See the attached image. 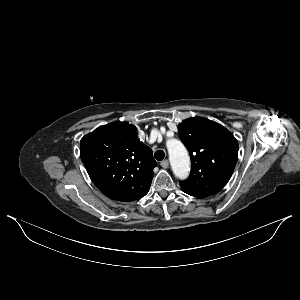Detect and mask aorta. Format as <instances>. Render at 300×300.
Instances as JSON below:
<instances>
[{
    "instance_id": "762f6f07",
    "label": "aorta",
    "mask_w": 300,
    "mask_h": 300,
    "mask_svg": "<svg viewBox=\"0 0 300 300\" xmlns=\"http://www.w3.org/2000/svg\"><path fill=\"white\" fill-rule=\"evenodd\" d=\"M167 149L174 174L181 180L186 179L190 171V158L185 146L177 139H170Z\"/></svg>"
}]
</instances>
